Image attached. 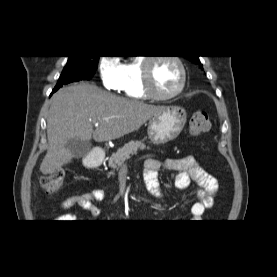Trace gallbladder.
Here are the masks:
<instances>
[{
  "mask_svg": "<svg viewBox=\"0 0 277 277\" xmlns=\"http://www.w3.org/2000/svg\"><path fill=\"white\" fill-rule=\"evenodd\" d=\"M66 148L70 151L74 158H81L90 153L92 145L89 141L71 138L66 142Z\"/></svg>",
  "mask_w": 277,
  "mask_h": 277,
  "instance_id": "obj_1",
  "label": "gallbladder"
}]
</instances>
